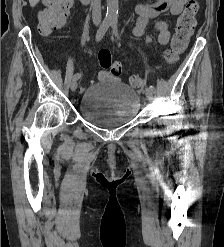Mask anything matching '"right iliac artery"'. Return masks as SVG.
<instances>
[{"label":"right iliac artery","mask_w":224,"mask_h":247,"mask_svg":"<svg viewBox=\"0 0 224 247\" xmlns=\"http://www.w3.org/2000/svg\"><path fill=\"white\" fill-rule=\"evenodd\" d=\"M111 24H112V19L105 18L103 20L102 24L100 25V27H99V29L97 30V33H96L95 40L97 42H99L103 38V36L105 35L106 31L108 30V28L110 27ZM80 77H81V74L80 73H76L73 76V79L78 80Z\"/></svg>","instance_id":"obj_1"}]
</instances>
